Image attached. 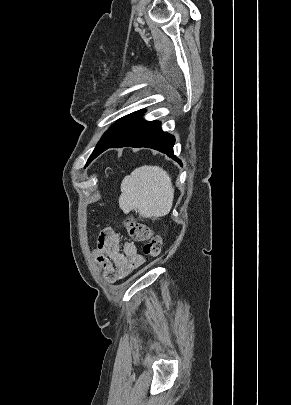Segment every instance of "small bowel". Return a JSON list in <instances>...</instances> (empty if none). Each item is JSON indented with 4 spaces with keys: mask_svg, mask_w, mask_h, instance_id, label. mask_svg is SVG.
Segmentation results:
<instances>
[{
    "mask_svg": "<svg viewBox=\"0 0 291 405\" xmlns=\"http://www.w3.org/2000/svg\"><path fill=\"white\" fill-rule=\"evenodd\" d=\"M93 259L102 268L104 278L109 283L128 276L144 263L137 246L131 242L121 246V234L111 227L100 233Z\"/></svg>",
    "mask_w": 291,
    "mask_h": 405,
    "instance_id": "small-bowel-1",
    "label": "small bowel"
}]
</instances>
